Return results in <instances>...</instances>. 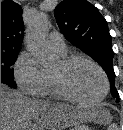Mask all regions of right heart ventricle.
I'll list each match as a JSON object with an SVG mask.
<instances>
[{"label":"right heart ventricle","instance_id":"1","mask_svg":"<svg viewBox=\"0 0 123 130\" xmlns=\"http://www.w3.org/2000/svg\"><path fill=\"white\" fill-rule=\"evenodd\" d=\"M55 51V50H54ZM59 56L61 57H65L67 56V51H55ZM45 76H46V91H45V95H49L53 98L56 99H62L63 97L58 93L57 89L55 88V85L53 83L52 80V76H51V72L49 71H45Z\"/></svg>","mask_w":123,"mask_h":130}]
</instances>
